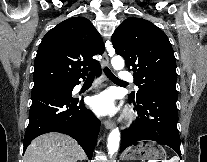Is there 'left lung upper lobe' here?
Masks as SVG:
<instances>
[{"label": "left lung upper lobe", "instance_id": "5c2ea615", "mask_svg": "<svg viewBox=\"0 0 207 162\" xmlns=\"http://www.w3.org/2000/svg\"><path fill=\"white\" fill-rule=\"evenodd\" d=\"M115 52L126 60L134 71V82L139 87V100L149 92L177 94L176 61L166 34L153 23L142 18H127L112 35Z\"/></svg>", "mask_w": 207, "mask_h": 162}]
</instances>
